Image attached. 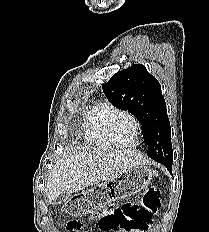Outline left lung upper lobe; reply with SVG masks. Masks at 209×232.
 I'll list each match as a JSON object with an SVG mask.
<instances>
[{
	"instance_id": "5c2ea615",
	"label": "left lung upper lobe",
	"mask_w": 209,
	"mask_h": 232,
	"mask_svg": "<svg viewBox=\"0 0 209 232\" xmlns=\"http://www.w3.org/2000/svg\"><path fill=\"white\" fill-rule=\"evenodd\" d=\"M103 91L113 106L129 111L140 121L149 156L171 171V127L157 79L145 66L135 64L114 74Z\"/></svg>"
}]
</instances>
